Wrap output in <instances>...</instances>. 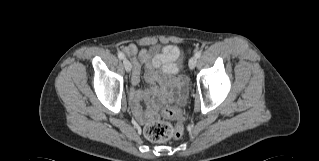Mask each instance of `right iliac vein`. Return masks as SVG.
Instances as JSON below:
<instances>
[{"label": "right iliac vein", "mask_w": 319, "mask_h": 161, "mask_svg": "<svg viewBox=\"0 0 319 161\" xmlns=\"http://www.w3.org/2000/svg\"><path fill=\"white\" fill-rule=\"evenodd\" d=\"M123 65H124V68L127 72L131 71L132 65L128 59L123 60Z\"/></svg>", "instance_id": "obj_1"}]
</instances>
